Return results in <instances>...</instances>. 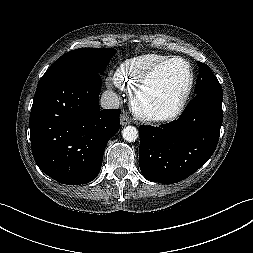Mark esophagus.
Here are the masks:
<instances>
[{"label": "esophagus", "mask_w": 253, "mask_h": 253, "mask_svg": "<svg viewBox=\"0 0 253 253\" xmlns=\"http://www.w3.org/2000/svg\"><path fill=\"white\" fill-rule=\"evenodd\" d=\"M121 125L126 126L130 124L131 120L126 114H122L120 117Z\"/></svg>", "instance_id": "34e87169"}]
</instances>
